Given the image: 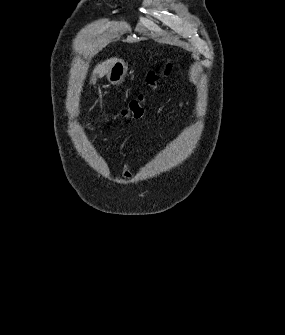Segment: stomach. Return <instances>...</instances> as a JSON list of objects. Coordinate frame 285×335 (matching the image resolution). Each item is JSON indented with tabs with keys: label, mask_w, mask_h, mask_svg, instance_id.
I'll return each mask as SVG.
<instances>
[{
	"label": "stomach",
	"mask_w": 285,
	"mask_h": 335,
	"mask_svg": "<svg viewBox=\"0 0 285 335\" xmlns=\"http://www.w3.org/2000/svg\"><path fill=\"white\" fill-rule=\"evenodd\" d=\"M128 66L124 60H115V64L111 66L109 72L106 74V78L109 84L113 86H119L126 78Z\"/></svg>",
	"instance_id": "obj_1"
}]
</instances>
